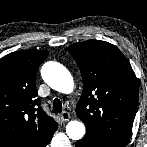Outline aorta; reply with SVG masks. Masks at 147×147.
Masks as SVG:
<instances>
[{"label": "aorta", "mask_w": 147, "mask_h": 147, "mask_svg": "<svg viewBox=\"0 0 147 147\" xmlns=\"http://www.w3.org/2000/svg\"><path fill=\"white\" fill-rule=\"evenodd\" d=\"M44 81L54 90L61 93H71L73 90V78L70 72L56 62L46 63L41 70ZM66 133L72 140H80L85 134V126L82 122L71 120L66 126Z\"/></svg>", "instance_id": "762f6f07"}]
</instances>
